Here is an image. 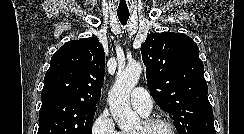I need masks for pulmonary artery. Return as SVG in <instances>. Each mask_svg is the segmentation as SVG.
I'll use <instances>...</instances> for the list:
<instances>
[{
	"label": "pulmonary artery",
	"mask_w": 244,
	"mask_h": 134,
	"mask_svg": "<svg viewBox=\"0 0 244 134\" xmlns=\"http://www.w3.org/2000/svg\"><path fill=\"white\" fill-rule=\"evenodd\" d=\"M130 103L143 116H148L153 106L150 94L143 87H137L131 92Z\"/></svg>",
	"instance_id": "pulmonary-artery-1"
}]
</instances>
